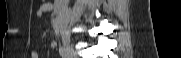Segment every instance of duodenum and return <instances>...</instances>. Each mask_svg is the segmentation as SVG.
Here are the masks:
<instances>
[{"label":"duodenum","instance_id":"duodenum-1","mask_svg":"<svg viewBox=\"0 0 181 58\" xmlns=\"http://www.w3.org/2000/svg\"><path fill=\"white\" fill-rule=\"evenodd\" d=\"M64 0H56L54 2L55 10L57 13L61 14L64 11Z\"/></svg>","mask_w":181,"mask_h":58}]
</instances>
